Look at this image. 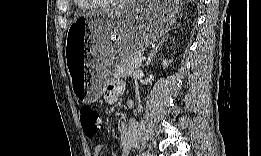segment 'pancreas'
I'll return each mask as SVG.
<instances>
[{
	"label": "pancreas",
	"mask_w": 261,
	"mask_h": 156,
	"mask_svg": "<svg viewBox=\"0 0 261 156\" xmlns=\"http://www.w3.org/2000/svg\"><path fill=\"white\" fill-rule=\"evenodd\" d=\"M136 55H132L121 61L119 65L115 66L114 72L119 76H130L133 71L140 67V63H134Z\"/></svg>",
	"instance_id": "pancreas-1"
}]
</instances>
